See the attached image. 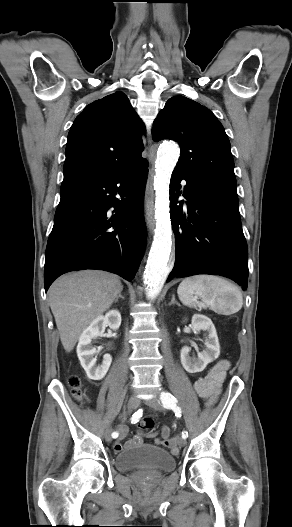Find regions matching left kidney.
I'll use <instances>...</instances> for the list:
<instances>
[{
    "label": "left kidney",
    "mask_w": 292,
    "mask_h": 527,
    "mask_svg": "<svg viewBox=\"0 0 292 527\" xmlns=\"http://www.w3.org/2000/svg\"><path fill=\"white\" fill-rule=\"evenodd\" d=\"M191 323L195 332L202 330L208 335L205 340V349L198 353V358L189 356V347L184 346L181 349L180 357L182 366L189 373H197L203 371L209 363L218 358L220 345L215 326L211 319L205 315L195 314L192 317Z\"/></svg>",
    "instance_id": "5707ae66"
}]
</instances>
